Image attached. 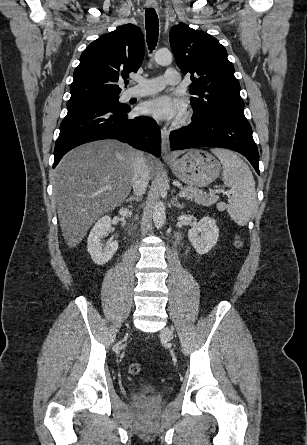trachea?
Returning <instances> with one entry per match:
<instances>
[{
    "instance_id": "obj_1",
    "label": "trachea",
    "mask_w": 307,
    "mask_h": 445,
    "mask_svg": "<svg viewBox=\"0 0 307 445\" xmlns=\"http://www.w3.org/2000/svg\"><path fill=\"white\" fill-rule=\"evenodd\" d=\"M146 37L150 51L156 46L159 34V20L153 8H147L145 12Z\"/></svg>"
}]
</instances>
